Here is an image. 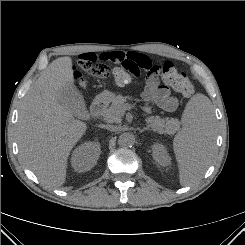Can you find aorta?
Masks as SVG:
<instances>
[{"mask_svg": "<svg viewBox=\"0 0 245 245\" xmlns=\"http://www.w3.org/2000/svg\"><path fill=\"white\" fill-rule=\"evenodd\" d=\"M135 143V136L132 133L125 132L122 133L118 138V144L121 147H132Z\"/></svg>", "mask_w": 245, "mask_h": 245, "instance_id": "1", "label": "aorta"}]
</instances>
